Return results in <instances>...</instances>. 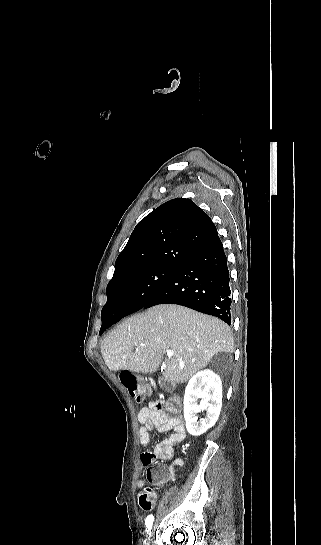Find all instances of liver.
<instances>
[{"mask_svg": "<svg viewBox=\"0 0 321 545\" xmlns=\"http://www.w3.org/2000/svg\"><path fill=\"white\" fill-rule=\"evenodd\" d=\"M166 351H173L171 359L164 357ZM234 351L226 323L180 305H156L129 317L101 343L102 357L110 371L155 373L164 363L163 377L174 383H186L217 353Z\"/></svg>", "mask_w": 321, "mask_h": 545, "instance_id": "obj_1", "label": "liver"}]
</instances>
